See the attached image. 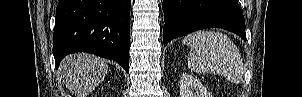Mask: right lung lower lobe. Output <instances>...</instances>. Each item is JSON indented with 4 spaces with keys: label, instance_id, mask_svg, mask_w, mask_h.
Here are the masks:
<instances>
[{
    "label": "right lung lower lobe",
    "instance_id": "98d812e1",
    "mask_svg": "<svg viewBox=\"0 0 302 97\" xmlns=\"http://www.w3.org/2000/svg\"><path fill=\"white\" fill-rule=\"evenodd\" d=\"M131 0H60L56 8L53 54L87 52L117 61L129 72Z\"/></svg>",
    "mask_w": 302,
    "mask_h": 97
}]
</instances>
